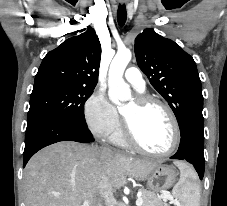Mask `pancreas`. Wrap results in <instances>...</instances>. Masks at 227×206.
Wrapping results in <instances>:
<instances>
[{"label": "pancreas", "mask_w": 227, "mask_h": 206, "mask_svg": "<svg viewBox=\"0 0 227 206\" xmlns=\"http://www.w3.org/2000/svg\"><path fill=\"white\" fill-rule=\"evenodd\" d=\"M141 198L143 199L142 206H169L165 201L162 195L156 194L154 191L147 189H140Z\"/></svg>", "instance_id": "cf45deb5"}]
</instances>
